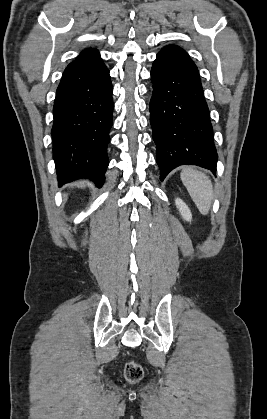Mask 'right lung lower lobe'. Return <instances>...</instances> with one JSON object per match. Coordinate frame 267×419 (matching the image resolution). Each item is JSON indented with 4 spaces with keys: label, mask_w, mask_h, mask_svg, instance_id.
I'll return each instance as SVG.
<instances>
[{
    "label": "right lung lower lobe",
    "mask_w": 267,
    "mask_h": 419,
    "mask_svg": "<svg viewBox=\"0 0 267 419\" xmlns=\"http://www.w3.org/2000/svg\"><path fill=\"white\" fill-rule=\"evenodd\" d=\"M112 83L103 61L71 62L56 91L51 130L59 185L88 178L104 183L113 124Z\"/></svg>",
    "instance_id": "98d812e1"
}]
</instances>
